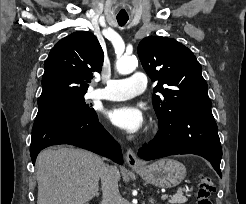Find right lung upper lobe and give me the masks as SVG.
<instances>
[{
	"instance_id": "cb5924a9",
	"label": "right lung upper lobe",
	"mask_w": 246,
	"mask_h": 204,
	"mask_svg": "<svg viewBox=\"0 0 246 204\" xmlns=\"http://www.w3.org/2000/svg\"><path fill=\"white\" fill-rule=\"evenodd\" d=\"M103 60V50L91 32L79 31L63 38L44 63L43 90L38 101L86 92L94 73L101 72Z\"/></svg>"
}]
</instances>
